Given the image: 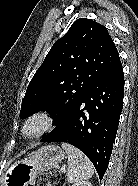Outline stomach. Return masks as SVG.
<instances>
[{"mask_svg":"<svg viewBox=\"0 0 138 186\" xmlns=\"http://www.w3.org/2000/svg\"><path fill=\"white\" fill-rule=\"evenodd\" d=\"M64 158L65 153L58 146L41 147L11 164L4 174L2 186H32L39 173L57 167Z\"/></svg>","mask_w":138,"mask_h":186,"instance_id":"0dacf381","label":"stomach"}]
</instances>
